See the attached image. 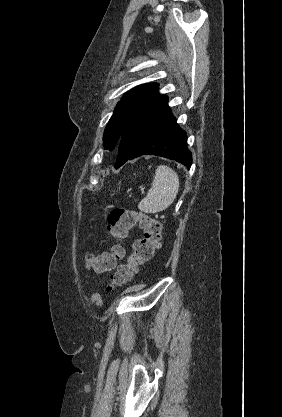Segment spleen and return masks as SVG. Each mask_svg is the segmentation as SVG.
<instances>
[{"mask_svg": "<svg viewBox=\"0 0 282 417\" xmlns=\"http://www.w3.org/2000/svg\"><path fill=\"white\" fill-rule=\"evenodd\" d=\"M179 176L173 168L160 164L157 166L154 180L147 192L138 204V209L143 213H160L172 204L179 190Z\"/></svg>", "mask_w": 282, "mask_h": 417, "instance_id": "spleen-1", "label": "spleen"}]
</instances>
